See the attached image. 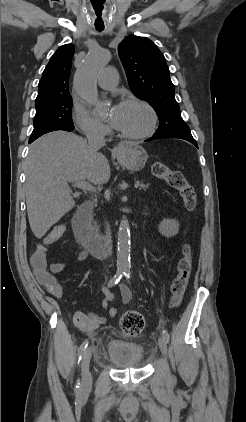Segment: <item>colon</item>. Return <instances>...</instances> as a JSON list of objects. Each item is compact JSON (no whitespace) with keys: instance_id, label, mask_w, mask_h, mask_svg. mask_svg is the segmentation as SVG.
I'll return each instance as SVG.
<instances>
[{"instance_id":"obj_1","label":"colon","mask_w":246,"mask_h":422,"mask_svg":"<svg viewBox=\"0 0 246 422\" xmlns=\"http://www.w3.org/2000/svg\"><path fill=\"white\" fill-rule=\"evenodd\" d=\"M152 173L157 178L165 180L172 188L178 191L185 208L193 211L197 204V195L193 186L187 181L184 175L175 170H171L161 162L153 163ZM65 232L63 225L54 226L44 238L45 244H51L59 240ZM31 264L39 276H44L47 272L46 251L44 246H39L31 257ZM193 257L189 244L183 248V256L177 264V274L171 285V305L177 308L181 305L189 283L192 272ZM122 332L128 336L140 334L145 327L143 315L137 311H126L119 320Z\"/></svg>"}]
</instances>
